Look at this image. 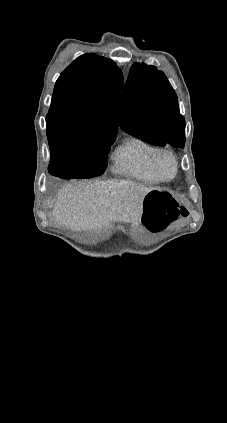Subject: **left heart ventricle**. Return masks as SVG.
<instances>
[{
    "label": "left heart ventricle",
    "instance_id": "b2bd125f",
    "mask_svg": "<svg viewBox=\"0 0 227 423\" xmlns=\"http://www.w3.org/2000/svg\"><path fill=\"white\" fill-rule=\"evenodd\" d=\"M158 164H159V167H160L162 173L166 177H170L172 175V173H173V163L167 155H165V154L159 155Z\"/></svg>",
    "mask_w": 227,
    "mask_h": 423
}]
</instances>
